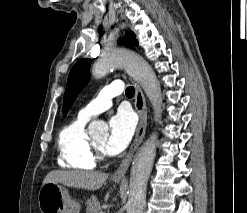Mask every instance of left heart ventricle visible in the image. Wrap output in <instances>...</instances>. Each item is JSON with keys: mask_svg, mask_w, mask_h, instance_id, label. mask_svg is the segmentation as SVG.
I'll return each mask as SVG.
<instances>
[{"mask_svg": "<svg viewBox=\"0 0 247 213\" xmlns=\"http://www.w3.org/2000/svg\"><path fill=\"white\" fill-rule=\"evenodd\" d=\"M107 140V136H101L99 138L93 139L94 143L104 150V146ZM105 151V150H104Z\"/></svg>", "mask_w": 247, "mask_h": 213, "instance_id": "b2bd125f", "label": "left heart ventricle"}]
</instances>
